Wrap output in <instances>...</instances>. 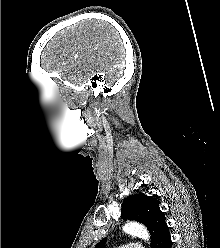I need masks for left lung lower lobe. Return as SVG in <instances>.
<instances>
[{"label": "left lung lower lobe", "mask_w": 220, "mask_h": 248, "mask_svg": "<svg viewBox=\"0 0 220 248\" xmlns=\"http://www.w3.org/2000/svg\"><path fill=\"white\" fill-rule=\"evenodd\" d=\"M172 241L169 234L168 226H166L163 230L155 244L152 248H171Z\"/></svg>", "instance_id": "obj_1"}]
</instances>
